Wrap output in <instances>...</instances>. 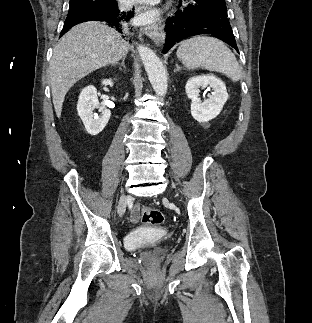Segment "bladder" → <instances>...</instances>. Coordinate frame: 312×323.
I'll list each match as a JSON object with an SVG mask.
<instances>
[{"instance_id": "31cf9c89", "label": "bladder", "mask_w": 312, "mask_h": 323, "mask_svg": "<svg viewBox=\"0 0 312 323\" xmlns=\"http://www.w3.org/2000/svg\"><path fill=\"white\" fill-rule=\"evenodd\" d=\"M153 242H154V243H157V242H158V240H154Z\"/></svg>"}]
</instances>
